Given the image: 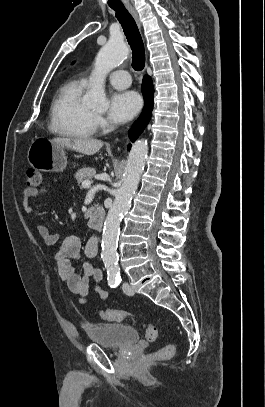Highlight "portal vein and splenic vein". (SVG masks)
Instances as JSON below:
<instances>
[{"label": "portal vein and splenic vein", "mask_w": 265, "mask_h": 407, "mask_svg": "<svg viewBox=\"0 0 265 407\" xmlns=\"http://www.w3.org/2000/svg\"><path fill=\"white\" fill-rule=\"evenodd\" d=\"M92 182L90 180H85L82 182V188H89Z\"/></svg>", "instance_id": "portal-vein-and-splenic-vein-1"}]
</instances>
